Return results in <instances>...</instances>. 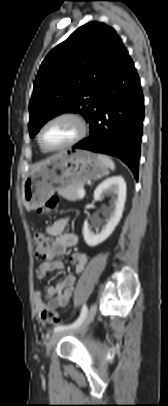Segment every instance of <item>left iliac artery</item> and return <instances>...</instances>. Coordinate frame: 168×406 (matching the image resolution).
<instances>
[{
	"label": "left iliac artery",
	"mask_w": 168,
	"mask_h": 406,
	"mask_svg": "<svg viewBox=\"0 0 168 406\" xmlns=\"http://www.w3.org/2000/svg\"><path fill=\"white\" fill-rule=\"evenodd\" d=\"M86 315H87V306H86V304H84L83 307H82L80 316L78 317V319L74 323H72L70 325H58V326H56L54 328V332L76 328L77 326H79L83 322Z\"/></svg>",
	"instance_id": "obj_1"
}]
</instances>
